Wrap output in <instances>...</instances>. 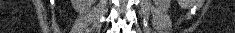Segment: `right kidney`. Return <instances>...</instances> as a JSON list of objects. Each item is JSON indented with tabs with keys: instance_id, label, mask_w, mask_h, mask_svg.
Here are the masks:
<instances>
[{
	"instance_id": "1",
	"label": "right kidney",
	"mask_w": 235,
	"mask_h": 33,
	"mask_svg": "<svg viewBox=\"0 0 235 33\" xmlns=\"http://www.w3.org/2000/svg\"><path fill=\"white\" fill-rule=\"evenodd\" d=\"M95 0H73V7L78 11H83L86 7H90Z\"/></svg>"
}]
</instances>
